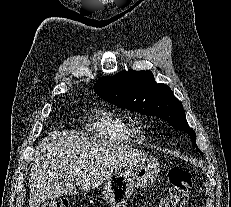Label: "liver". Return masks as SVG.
<instances>
[{
  "instance_id": "liver-1",
  "label": "liver",
  "mask_w": 231,
  "mask_h": 207,
  "mask_svg": "<svg viewBox=\"0 0 231 207\" xmlns=\"http://www.w3.org/2000/svg\"><path fill=\"white\" fill-rule=\"evenodd\" d=\"M142 155L141 151L114 141L55 132L36 148L29 175V207H40L48 198L76 194V185L82 191L96 188L121 164Z\"/></svg>"
}]
</instances>
